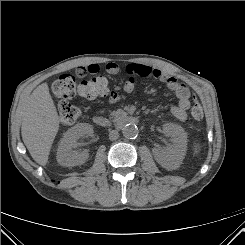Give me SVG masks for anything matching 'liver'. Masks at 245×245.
<instances>
[{
  "label": "liver",
  "mask_w": 245,
  "mask_h": 245,
  "mask_svg": "<svg viewBox=\"0 0 245 245\" xmlns=\"http://www.w3.org/2000/svg\"><path fill=\"white\" fill-rule=\"evenodd\" d=\"M59 130V116L47 83L39 85L25 104L21 135L32 158L40 165L48 162L51 146Z\"/></svg>",
  "instance_id": "obj_1"
}]
</instances>
